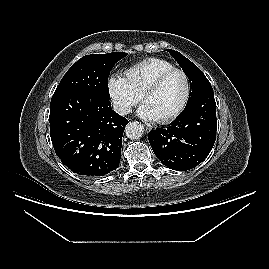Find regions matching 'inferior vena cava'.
<instances>
[{
    "label": "inferior vena cava",
    "mask_w": 269,
    "mask_h": 269,
    "mask_svg": "<svg viewBox=\"0 0 269 269\" xmlns=\"http://www.w3.org/2000/svg\"><path fill=\"white\" fill-rule=\"evenodd\" d=\"M113 109L120 115H126L131 111V108L127 103L117 101L113 103Z\"/></svg>",
    "instance_id": "obj_1"
}]
</instances>
